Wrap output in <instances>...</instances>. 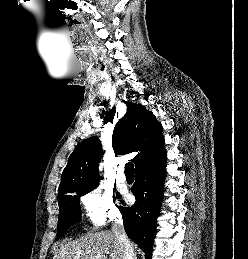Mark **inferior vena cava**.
Listing matches in <instances>:
<instances>
[{
    "instance_id": "602c4592",
    "label": "inferior vena cava",
    "mask_w": 248,
    "mask_h": 259,
    "mask_svg": "<svg viewBox=\"0 0 248 259\" xmlns=\"http://www.w3.org/2000/svg\"><path fill=\"white\" fill-rule=\"evenodd\" d=\"M112 231L123 248L124 259H136L134 248L125 233L122 216L120 214L114 216Z\"/></svg>"
}]
</instances>
